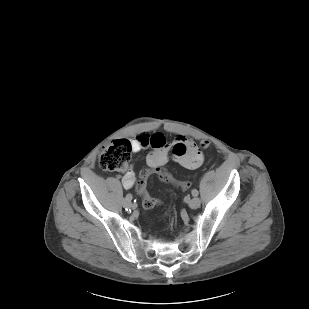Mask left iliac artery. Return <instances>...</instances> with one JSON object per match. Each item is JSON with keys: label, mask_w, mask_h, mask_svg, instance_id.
<instances>
[{"label": "left iliac artery", "mask_w": 309, "mask_h": 309, "mask_svg": "<svg viewBox=\"0 0 309 309\" xmlns=\"http://www.w3.org/2000/svg\"><path fill=\"white\" fill-rule=\"evenodd\" d=\"M192 195L193 196H198V191L196 189L192 190Z\"/></svg>", "instance_id": "1"}]
</instances>
